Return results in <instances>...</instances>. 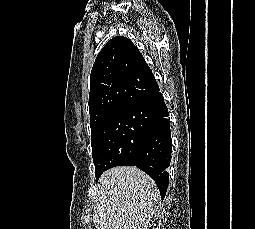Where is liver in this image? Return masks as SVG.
<instances>
[{
    "mask_svg": "<svg viewBox=\"0 0 255 229\" xmlns=\"http://www.w3.org/2000/svg\"><path fill=\"white\" fill-rule=\"evenodd\" d=\"M159 196L155 182L140 169L112 168L98 181L93 224L96 229H148Z\"/></svg>",
    "mask_w": 255,
    "mask_h": 229,
    "instance_id": "6515ba94",
    "label": "liver"
}]
</instances>
